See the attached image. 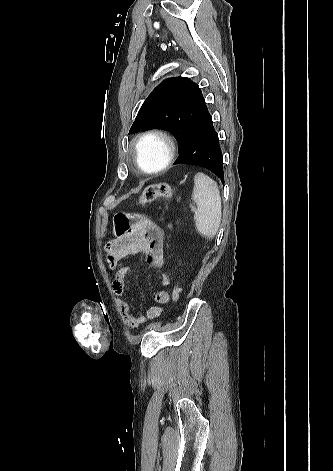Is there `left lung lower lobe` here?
<instances>
[{
  "instance_id": "obj_1",
  "label": "left lung lower lobe",
  "mask_w": 333,
  "mask_h": 471,
  "mask_svg": "<svg viewBox=\"0 0 333 471\" xmlns=\"http://www.w3.org/2000/svg\"><path fill=\"white\" fill-rule=\"evenodd\" d=\"M222 159L218 134L213 127L212 116L207 110L174 165L191 164L205 167L215 173L224 183Z\"/></svg>"
}]
</instances>
